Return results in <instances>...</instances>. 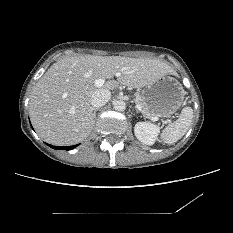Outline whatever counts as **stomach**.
<instances>
[{
    "label": "stomach",
    "instance_id": "stomach-1",
    "mask_svg": "<svg viewBox=\"0 0 233 233\" xmlns=\"http://www.w3.org/2000/svg\"><path fill=\"white\" fill-rule=\"evenodd\" d=\"M141 96L153 114L167 117L180 108L185 90L177 79L163 76L152 85L146 86L141 91Z\"/></svg>",
    "mask_w": 233,
    "mask_h": 233
}]
</instances>
